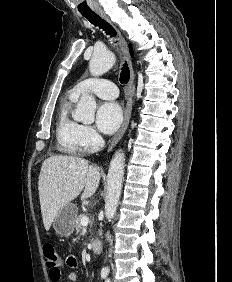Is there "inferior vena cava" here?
<instances>
[{"label": "inferior vena cava", "instance_id": "inferior-vena-cava-1", "mask_svg": "<svg viewBox=\"0 0 232 282\" xmlns=\"http://www.w3.org/2000/svg\"><path fill=\"white\" fill-rule=\"evenodd\" d=\"M98 144H99V146H101V147L104 145V140H103L102 137H99V138H98Z\"/></svg>", "mask_w": 232, "mask_h": 282}]
</instances>
